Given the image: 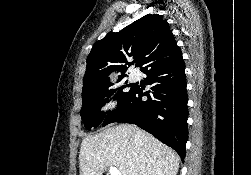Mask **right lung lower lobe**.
I'll return each mask as SVG.
<instances>
[{"mask_svg": "<svg viewBox=\"0 0 251 175\" xmlns=\"http://www.w3.org/2000/svg\"><path fill=\"white\" fill-rule=\"evenodd\" d=\"M145 74L151 91L143 94L140 89L132 88L120 100L117 109L104 118L103 126L113 122L136 124L172 147L183 161L188 140V96L184 61L181 58ZM143 95L148 100L143 101Z\"/></svg>", "mask_w": 251, "mask_h": 175, "instance_id": "1", "label": "right lung lower lobe"}]
</instances>
